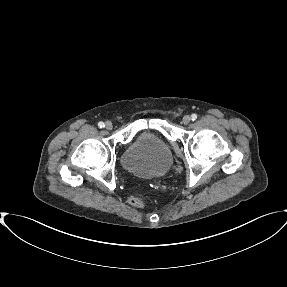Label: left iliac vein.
<instances>
[{"instance_id": "1", "label": "left iliac vein", "mask_w": 287, "mask_h": 287, "mask_svg": "<svg viewBox=\"0 0 287 287\" xmlns=\"http://www.w3.org/2000/svg\"><path fill=\"white\" fill-rule=\"evenodd\" d=\"M190 121H191V117H190V116L185 115V116L183 117V123H184L185 125H188V124L190 123Z\"/></svg>"}]
</instances>
